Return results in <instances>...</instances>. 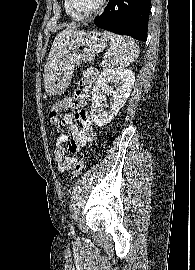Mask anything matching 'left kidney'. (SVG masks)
<instances>
[{"label": "left kidney", "mask_w": 195, "mask_h": 270, "mask_svg": "<svg viewBox=\"0 0 195 270\" xmlns=\"http://www.w3.org/2000/svg\"><path fill=\"white\" fill-rule=\"evenodd\" d=\"M135 74L130 69H105L97 78L92 91L91 117L98 126L109 123L124 106L134 86ZM109 83H117L119 88L114 90ZM106 94L112 97L108 110L103 109L102 102Z\"/></svg>", "instance_id": "obj_1"}]
</instances>
